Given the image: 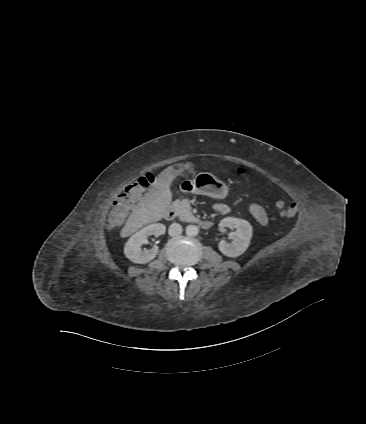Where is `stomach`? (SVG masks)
Masks as SVG:
<instances>
[{
	"instance_id": "0dacf381",
	"label": "stomach",
	"mask_w": 366,
	"mask_h": 424,
	"mask_svg": "<svg viewBox=\"0 0 366 424\" xmlns=\"http://www.w3.org/2000/svg\"><path fill=\"white\" fill-rule=\"evenodd\" d=\"M183 185H190L192 193L207 195L215 199H224L228 194L227 185L207 172L199 173L193 180H185Z\"/></svg>"
}]
</instances>
